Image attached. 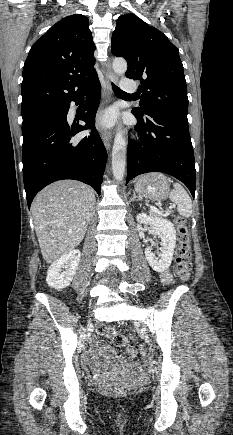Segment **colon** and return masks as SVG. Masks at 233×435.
Here are the masks:
<instances>
[{"mask_svg": "<svg viewBox=\"0 0 233 435\" xmlns=\"http://www.w3.org/2000/svg\"><path fill=\"white\" fill-rule=\"evenodd\" d=\"M174 224L178 232V247L176 252L175 275L186 281L189 278L191 268L190 240L188 235L187 221L182 216L174 218ZM100 336L109 337L116 345L126 343L128 336L123 332H116L108 325H100L97 329ZM101 392L107 396H119L125 392L124 386L113 382L101 384Z\"/></svg>", "mask_w": 233, "mask_h": 435, "instance_id": "1", "label": "colon"}]
</instances>
